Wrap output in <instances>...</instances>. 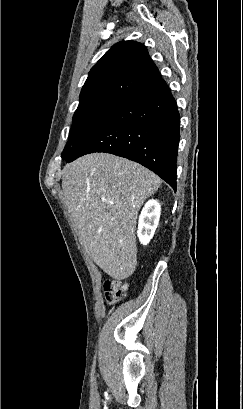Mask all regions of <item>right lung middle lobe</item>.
I'll list each match as a JSON object with an SVG mask.
<instances>
[{"label":"right lung middle lobe","instance_id":"1","mask_svg":"<svg viewBox=\"0 0 243 409\" xmlns=\"http://www.w3.org/2000/svg\"><path fill=\"white\" fill-rule=\"evenodd\" d=\"M124 99H99L79 103L73 116L69 141L61 155L66 159L72 151L98 130L120 107Z\"/></svg>","mask_w":243,"mask_h":409}]
</instances>
